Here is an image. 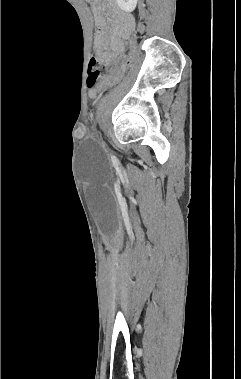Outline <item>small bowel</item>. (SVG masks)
Listing matches in <instances>:
<instances>
[{
	"label": "small bowel",
	"instance_id": "c3829d8e",
	"mask_svg": "<svg viewBox=\"0 0 241 379\" xmlns=\"http://www.w3.org/2000/svg\"><path fill=\"white\" fill-rule=\"evenodd\" d=\"M95 15L97 22V31L94 39V48L103 64H109L113 59L111 48L117 46L119 35H121L126 27L133 24L131 17L120 11L114 4L113 0H94ZM104 13L112 21V25L108 28L105 23ZM97 94L96 88H90L88 95L94 98Z\"/></svg>",
	"mask_w": 241,
	"mask_h": 379
}]
</instances>
